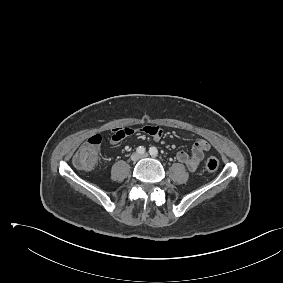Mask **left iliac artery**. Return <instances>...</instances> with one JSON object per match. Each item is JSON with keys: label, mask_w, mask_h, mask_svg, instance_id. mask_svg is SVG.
<instances>
[{"label": "left iliac artery", "mask_w": 283, "mask_h": 283, "mask_svg": "<svg viewBox=\"0 0 283 283\" xmlns=\"http://www.w3.org/2000/svg\"><path fill=\"white\" fill-rule=\"evenodd\" d=\"M149 153L152 156H156L158 154V150H157L156 147L152 146V147L149 148Z\"/></svg>", "instance_id": "1"}]
</instances>
